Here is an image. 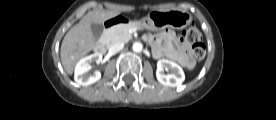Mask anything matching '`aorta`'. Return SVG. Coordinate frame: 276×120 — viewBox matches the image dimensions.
<instances>
[{
	"label": "aorta",
	"instance_id": "762f6f07",
	"mask_svg": "<svg viewBox=\"0 0 276 120\" xmlns=\"http://www.w3.org/2000/svg\"><path fill=\"white\" fill-rule=\"evenodd\" d=\"M132 48H133L134 52L139 53V52H141L143 50V45L140 42H135V43H133Z\"/></svg>",
	"mask_w": 276,
	"mask_h": 120
}]
</instances>
